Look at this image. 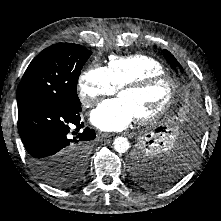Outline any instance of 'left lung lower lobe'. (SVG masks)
<instances>
[{"label": "left lung lower lobe", "instance_id": "0a47b994", "mask_svg": "<svg viewBox=\"0 0 221 221\" xmlns=\"http://www.w3.org/2000/svg\"><path fill=\"white\" fill-rule=\"evenodd\" d=\"M165 127H159L156 132H166ZM201 121L196 116L190 115L189 121L187 123V129L184 131L182 138L178 139V149L172 153L171 158L175 159L176 164L175 170L173 171V176L169 180L168 184L179 179L185 172L187 163L194 157L196 148L199 143L201 136Z\"/></svg>", "mask_w": 221, "mask_h": 221}]
</instances>
